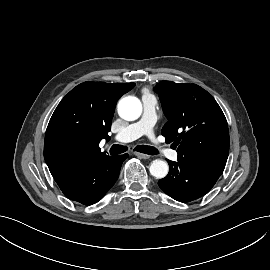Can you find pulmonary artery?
Segmentation results:
<instances>
[{"label":"pulmonary artery","instance_id":"e3ab8cb5","mask_svg":"<svg viewBox=\"0 0 270 270\" xmlns=\"http://www.w3.org/2000/svg\"><path fill=\"white\" fill-rule=\"evenodd\" d=\"M143 114L139 121L132 123L125 127L115 136V141L120 143H126L133 141L141 136H146L151 139L152 142L158 141L154 137L153 127L156 122V107L157 100L153 95L144 94L142 96ZM155 149L159 152H163L168 158L176 161L178 158V152L175 150L165 149L160 145H155Z\"/></svg>","mask_w":270,"mask_h":270}]
</instances>
